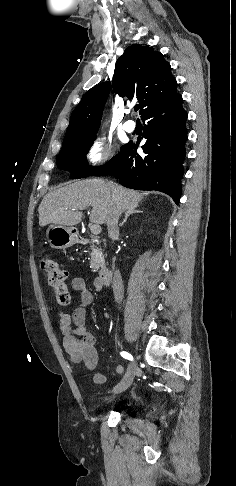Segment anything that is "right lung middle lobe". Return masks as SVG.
<instances>
[{
  "label": "right lung middle lobe",
  "mask_w": 236,
  "mask_h": 486,
  "mask_svg": "<svg viewBox=\"0 0 236 486\" xmlns=\"http://www.w3.org/2000/svg\"><path fill=\"white\" fill-rule=\"evenodd\" d=\"M96 133L93 132L78 140L63 144L57 156V165L63 170H69L72 179L85 178L100 168L89 166L86 160V154L96 139Z\"/></svg>",
  "instance_id": "right-lung-middle-lobe-1"
}]
</instances>
